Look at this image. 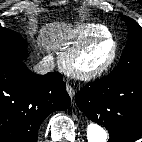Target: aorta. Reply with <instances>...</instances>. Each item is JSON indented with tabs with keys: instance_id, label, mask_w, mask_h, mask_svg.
I'll use <instances>...</instances> for the list:
<instances>
[{
	"instance_id": "obj_1",
	"label": "aorta",
	"mask_w": 142,
	"mask_h": 142,
	"mask_svg": "<svg viewBox=\"0 0 142 142\" xmlns=\"http://www.w3.org/2000/svg\"><path fill=\"white\" fill-rule=\"evenodd\" d=\"M106 130L95 122H89L87 126L88 142H107Z\"/></svg>"
}]
</instances>
